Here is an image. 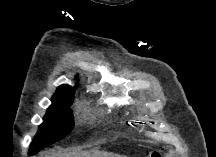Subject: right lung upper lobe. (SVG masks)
<instances>
[{
  "mask_svg": "<svg viewBox=\"0 0 216 157\" xmlns=\"http://www.w3.org/2000/svg\"><path fill=\"white\" fill-rule=\"evenodd\" d=\"M75 89H76V87H71L69 85L63 84L57 88L53 98H57V97L65 96V95H70V94H73V96H74V90Z\"/></svg>",
  "mask_w": 216,
  "mask_h": 157,
  "instance_id": "right-lung-upper-lobe-1",
  "label": "right lung upper lobe"
}]
</instances>
